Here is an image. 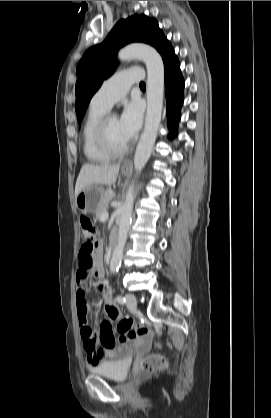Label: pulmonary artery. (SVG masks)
<instances>
[{"mask_svg":"<svg viewBox=\"0 0 271 418\" xmlns=\"http://www.w3.org/2000/svg\"><path fill=\"white\" fill-rule=\"evenodd\" d=\"M143 73L140 69L121 70L108 78L94 94L91 104L110 109L122 99L133 83L141 81Z\"/></svg>","mask_w":271,"mask_h":418,"instance_id":"obj_1","label":"pulmonary artery"}]
</instances>
